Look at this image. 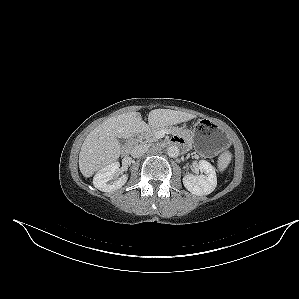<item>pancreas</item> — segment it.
Wrapping results in <instances>:
<instances>
[{
    "label": "pancreas",
    "mask_w": 299,
    "mask_h": 299,
    "mask_svg": "<svg viewBox=\"0 0 299 299\" xmlns=\"http://www.w3.org/2000/svg\"><path fill=\"white\" fill-rule=\"evenodd\" d=\"M163 129H168L171 131H175V129L169 128V127H162V128H151L139 136V141H143L145 143H152L156 142L158 140L157 133Z\"/></svg>",
    "instance_id": "pancreas-1"
}]
</instances>
